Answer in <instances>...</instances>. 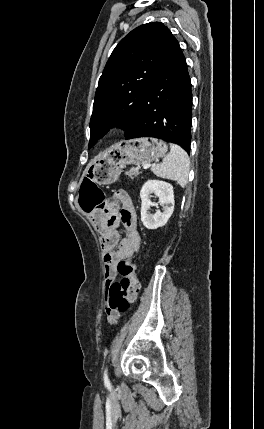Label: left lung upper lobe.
I'll list each match as a JSON object with an SVG mask.
<instances>
[{
    "mask_svg": "<svg viewBox=\"0 0 264 429\" xmlns=\"http://www.w3.org/2000/svg\"><path fill=\"white\" fill-rule=\"evenodd\" d=\"M172 36L162 23L153 22L135 28L118 43L99 79L89 147L115 125L126 130L125 136L131 132Z\"/></svg>",
    "mask_w": 264,
    "mask_h": 429,
    "instance_id": "1",
    "label": "left lung upper lobe"
}]
</instances>
